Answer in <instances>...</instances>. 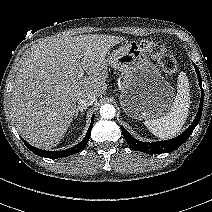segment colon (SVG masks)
<instances>
[{
  "mask_svg": "<svg viewBox=\"0 0 212 212\" xmlns=\"http://www.w3.org/2000/svg\"><path fill=\"white\" fill-rule=\"evenodd\" d=\"M140 48L156 60L166 74L173 75L176 73L178 67L177 60L168 47L158 42L142 41Z\"/></svg>",
  "mask_w": 212,
  "mask_h": 212,
  "instance_id": "1",
  "label": "colon"
}]
</instances>
